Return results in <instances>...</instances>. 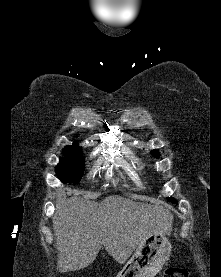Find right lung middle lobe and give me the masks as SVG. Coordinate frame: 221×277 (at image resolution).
Segmentation results:
<instances>
[{
    "label": "right lung middle lobe",
    "mask_w": 221,
    "mask_h": 277,
    "mask_svg": "<svg viewBox=\"0 0 221 277\" xmlns=\"http://www.w3.org/2000/svg\"><path fill=\"white\" fill-rule=\"evenodd\" d=\"M64 158L56 167L57 177L64 183H76L82 178L84 172V158L77 143L67 146L63 150Z\"/></svg>",
    "instance_id": "right-lung-middle-lobe-1"
}]
</instances>
